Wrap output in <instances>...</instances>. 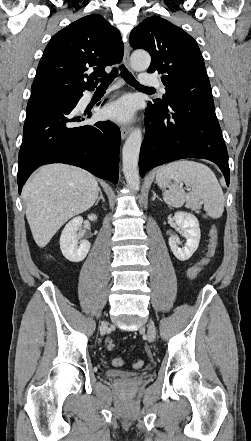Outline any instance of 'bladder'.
Wrapping results in <instances>:
<instances>
[{
	"mask_svg": "<svg viewBox=\"0 0 251 441\" xmlns=\"http://www.w3.org/2000/svg\"><path fill=\"white\" fill-rule=\"evenodd\" d=\"M105 375L110 379H116L137 376L138 373L119 369H108L105 371Z\"/></svg>",
	"mask_w": 251,
	"mask_h": 441,
	"instance_id": "bladder-1",
	"label": "bladder"
}]
</instances>
